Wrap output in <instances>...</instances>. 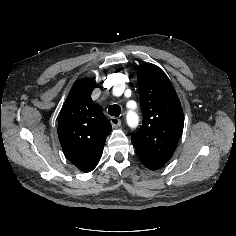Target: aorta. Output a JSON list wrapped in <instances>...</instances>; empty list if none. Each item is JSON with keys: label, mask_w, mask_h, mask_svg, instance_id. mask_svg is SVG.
<instances>
[{"label": "aorta", "mask_w": 236, "mask_h": 236, "mask_svg": "<svg viewBox=\"0 0 236 236\" xmlns=\"http://www.w3.org/2000/svg\"><path fill=\"white\" fill-rule=\"evenodd\" d=\"M126 120L130 128H135L139 122L138 114L135 111H129L126 116Z\"/></svg>", "instance_id": "aorta-1"}]
</instances>
